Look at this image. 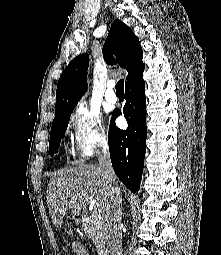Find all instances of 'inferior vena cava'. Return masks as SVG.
<instances>
[{"label":"inferior vena cava","instance_id":"1","mask_svg":"<svg viewBox=\"0 0 221 255\" xmlns=\"http://www.w3.org/2000/svg\"><path fill=\"white\" fill-rule=\"evenodd\" d=\"M99 167L108 183L113 184L111 198L104 210V236L109 255H122V232H121V203L122 196L120 187L116 183V175L112 168L108 142L102 139L98 145Z\"/></svg>","mask_w":221,"mask_h":255}]
</instances>
